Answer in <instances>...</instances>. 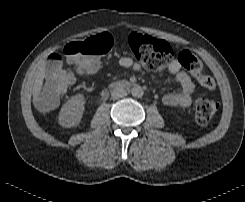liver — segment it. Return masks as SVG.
<instances>
[{
    "instance_id": "liver-1",
    "label": "liver",
    "mask_w": 245,
    "mask_h": 202,
    "mask_svg": "<svg viewBox=\"0 0 245 202\" xmlns=\"http://www.w3.org/2000/svg\"><path fill=\"white\" fill-rule=\"evenodd\" d=\"M45 76V64H42L38 68V74L34 84V99L37 100L38 94L42 88L43 79Z\"/></svg>"
}]
</instances>
